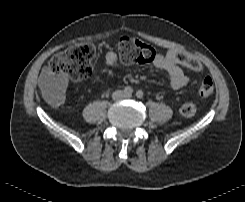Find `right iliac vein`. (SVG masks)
Here are the masks:
<instances>
[{"mask_svg":"<svg viewBox=\"0 0 245 202\" xmlns=\"http://www.w3.org/2000/svg\"><path fill=\"white\" fill-rule=\"evenodd\" d=\"M123 95H124V94H123L122 92L119 91V92H117V93L115 94L114 99H115V100H119V99H121V98L123 97Z\"/></svg>","mask_w":245,"mask_h":202,"instance_id":"1","label":"right iliac vein"}]
</instances>
